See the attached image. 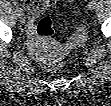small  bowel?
Listing matches in <instances>:
<instances>
[{"instance_id": "obj_1", "label": "small bowel", "mask_w": 111, "mask_h": 106, "mask_svg": "<svg viewBox=\"0 0 111 106\" xmlns=\"http://www.w3.org/2000/svg\"><path fill=\"white\" fill-rule=\"evenodd\" d=\"M55 1L52 0H27L24 2L27 11L30 14L28 34L32 37L34 35L33 21L36 16L44 12L47 8L51 7Z\"/></svg>"}]
</instances>
